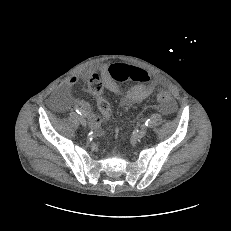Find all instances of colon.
Wrapping results in <instances>:
<instances>
[{"label": "colon", "mask_w": 231, "mask_h": 231, "mask_svg": "<svg viewBox=\"0 0 231 231\" xmlns=\"http://www.w3.org/2000/svg\"><path fill=\"white\" fill-rule=\"evenodd\" d=\"M109 76L114 82H124L126 80H133L137 82H145L148 80L147 73L134 65L125 63L112 64L108 69ZM91 91L96 94L98 98V107L105 120L111 117V106L109 101L103 97V83L100 79H95L90 84ZM157 100L162 103L170 101V94L167 91H161L157 95Z\"/></svg>", "instance_id": "5ec220e1"}]
</instances>
